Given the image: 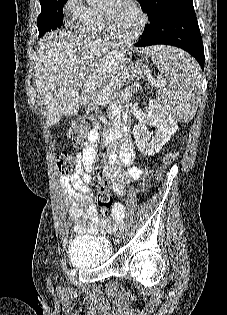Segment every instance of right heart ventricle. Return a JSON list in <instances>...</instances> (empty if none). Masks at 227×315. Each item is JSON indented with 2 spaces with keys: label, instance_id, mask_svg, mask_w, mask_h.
<instances>
[{
  "label": "right heart ventricle",
  "instance_id": "e07e8e85",
  "mask_svg": "<svg viewBox=\"0 0 227 315\" xmlns=\"http://www.w3.org/2000/svg\"><path fill=\"white\" fill-rule=\"evenodd\" d=\"M79 31L86 36L105 37L109 36L102 22L101 14L98 10L89 8L85 19L78 24Z\"/></svg>",
  "mask_w": 227,
  "mask_h": 315
}]
</instances>
